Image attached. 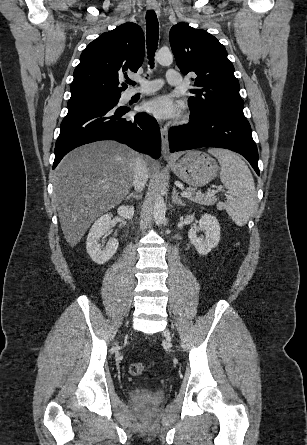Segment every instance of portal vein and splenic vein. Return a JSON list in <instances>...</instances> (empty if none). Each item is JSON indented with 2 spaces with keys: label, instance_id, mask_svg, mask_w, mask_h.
Here are the masks:
<instances>
[{
  "label": "portal vein and splenic vein",
  "instance_id": "1",
  "mask_svg": "<svg viewBox=\"0 0 307 445\" xmlns=\"http://www.w3.org/2000/svg\"><path fill=\"white\" fill-rule=\"evenodd\" d=\"M107 188H109V186H107ZM212 192H214V188L212 190ZM182 196H190V194H188V192H181Z\"/></svg>",
  "mask_w": 307,
  "mask_h": 445
}]
</instances>
